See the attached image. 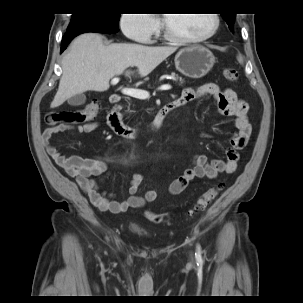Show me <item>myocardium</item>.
<instances>
[{
    "label": "myocardium",
    "instance_id": "f54148a6",
    "mask_svg": "<svg viewBox=\"0 0 303 303\" xmlns=\"http://www.w3.org/2000/svg\"><path fill=\"white\" fill-rule=\"evenodd\" d=\"M213 16V26L212 28L205 34L201 36H196V37H187V36H182L177 33H175L169 26L168 19L163 18V34L164 36L174 42L178 43H198L205 41L212 37L218 30L219 25H220V18L219 15L216 13L211 14Z\"/></svg>",
    "mask_w": 303,
    "mask_h": 303
}]
</instances>
